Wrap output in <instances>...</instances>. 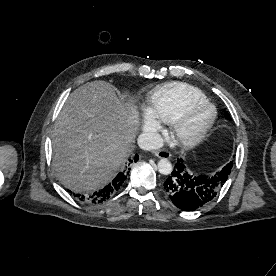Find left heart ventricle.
I'll use <instances>...</instances> for the list:
<instances>
[{
	"mask_svg": "<svg viewBox=\"0 0 276 276\" xmlns=\"http://www.w3.org/2000/svg\"><path fill=\"white\" fill-rule=\"evenodd\" d=\"M212 109L207 105H200L189 114L184 126V133L193 134L199 131L210 120Z\"/></svg>",
	"mask_w": 276,
	"mask_h": 276,
	"instance_id": "obj_1",
	"label": "left heart ventricle"
}]
</instances>
